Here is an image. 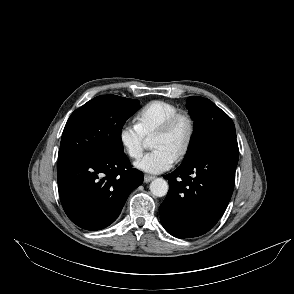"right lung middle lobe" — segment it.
Returning a JSON list of instances; mask_svg holds the SVG:
<instances>
[{
    "label": "right lung middle lobe",
    "instance_id": "1",
    "mask_svg": "<svg viewBox=\"0 0 294 294\" xmlns=\"http://www.w3.org/2000/svg\"><path fill=\"white\" fill-rule=\"evenodd\" d=\"M138 105L135 99L101 95L75 110L62 134L58 163L76 156L123 152L121 130Z\"/></svg>",
    "mask_w": 294,
    "mask_h": 294
}]
</instances>
